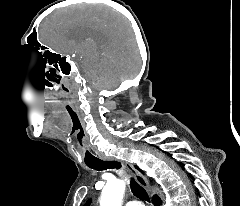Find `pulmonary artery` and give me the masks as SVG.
<instances>
[{"mask_svg": "<svg viewBox=\"0 0 240 206\" xmlns=\"http://www.w3.org/2000/svg\"><path fill=\"white\" fill-rule=\"evenodd\" d=\"M125 206H143V204L139 201H128Z\"/></svg>", "mask_w": 240, "mask_h": 206, "instance_id": "e3ab8cb5", "label": "pulmonary artery"}]
</instances>
